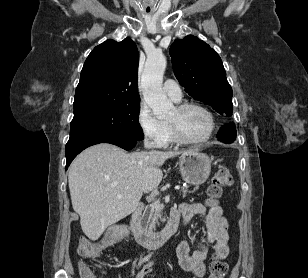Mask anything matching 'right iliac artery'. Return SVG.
<instances>
[{
    "instance_id": "82829eb1",
    "label": "right iliac artery",
    "mask_w": 308,
    "mask_h": 278,
    "mask_svg": "<svg viewBox=\"0 0 308 278\" xmlns=\"http://www.w3.org/2000/svg\"><path fill=\"white\" fill-rule=\"evenodd\" d=\"M151 257V254L144 257L142 260H140L139 264H142L144 261L148 260Z\"/></svg>"
}]
</instances>
